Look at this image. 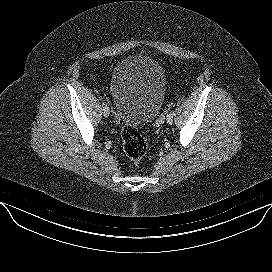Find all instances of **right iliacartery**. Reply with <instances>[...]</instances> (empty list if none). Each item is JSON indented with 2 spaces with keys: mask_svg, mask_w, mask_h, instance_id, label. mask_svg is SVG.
Wrapping results in <instances>:
<instances>
[{
  "mask_svg": "<svg viewBox=\"0 0 272 272\" xmlns=\"http://www.w3.org/2000/svg\"><path fill=\"white\" fill-rule=\"evenodd\" d=\"M103 108L107 107V104L105 102H103Z\"/></svg>",
  "mask_w": 272,
  "mask_h": 272,
  "instance_id": "82829eb1",
  "label": "right iliac artery"
}]
</instances>
